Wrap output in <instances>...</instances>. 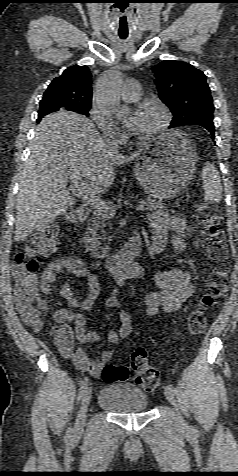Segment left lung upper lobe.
<instances>
[{"label": "left lung upper lobe", "mask_w": 238, "mask_h": 476, "mask_svg": "<svg viewBox=\"0 0 238 476\" xmlns=\"http://www.w3.org/2000/svg\"><path fill=\"white\" fill-rule=\"evenodd\" d=\"M160 99L170 108L169 128L179 125H214V105L206 76L182 61L165 60L152 68Z\"/></svg>", "instance_id": "left-lung-upper-lobe-1"}]
</instances>
